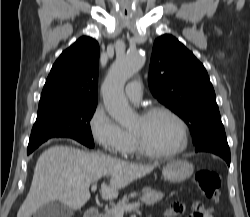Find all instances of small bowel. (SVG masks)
<instances>
[{"label": "small bowel", "mask_w": 250, "mask_h": 217, "mask_svg": "<svg viewBox=\"0 0 250 217\" xmlns=\"http://www.w3.org/2000/svg\"><path fill=\"white\" fill-rule=\"evenodd\" d=\"M183 211V205L179 203H173L171 204L166 210H165V217H176ZM204 217H215L209 210L206 211L204 214Z\"/></svg>", "instance_id": "c3829d8e"}]
</instances>
